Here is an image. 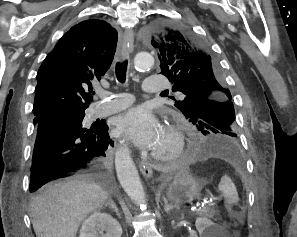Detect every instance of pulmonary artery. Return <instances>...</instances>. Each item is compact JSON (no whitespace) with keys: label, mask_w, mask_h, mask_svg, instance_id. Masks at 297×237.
<instances>
[{"label":"pulmonary artery","mask_w":297,"mask_h":237,"mask_svg":"<svg viewBox=\"0 0 297 237\" xmlns=\"http://www.w3.org/2000/svg\"><path fill=\"white\" fill-rule=\"evenodd\" d=\"M168 86L166 80L161 76L147 77L143 83L142 90L146 93H157ZM134 103L131 94L124 93L115 96H109L103 103H96L92 106L94 116H105L119 112Z\"/></svg>","instance_id":"obj_1"}]
</instances>
